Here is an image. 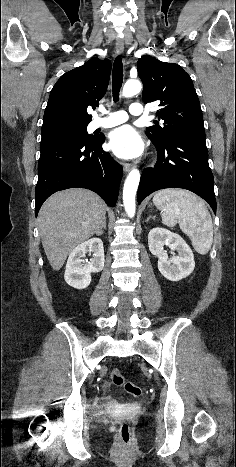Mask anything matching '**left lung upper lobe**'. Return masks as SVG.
Listing matches in <instances>:
<instances>
[{
    "label": "left lung upper lobe",
    "instance_id": "5c2ea615",
    "mask_svg": "<svg viewBox=\"0 0 236 467\" xmlns=\"http://www.w3.org/2000/svg\"><path fill=\"white\" fill-rule=\"evenodd\" d=\"M143 82L144 103L159 102L156 112L163 126H151L146 135L163 144L172 135L191 130H204L202 110L190 76L178 64L161 62L145 55L137 62Z\"/></svg>",
    "mask_w": 236,
    "mask_h": 467
}]
</instances>
